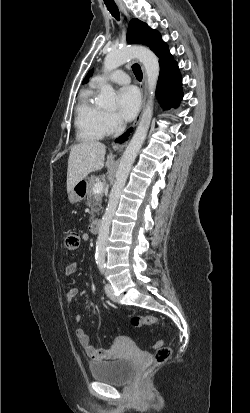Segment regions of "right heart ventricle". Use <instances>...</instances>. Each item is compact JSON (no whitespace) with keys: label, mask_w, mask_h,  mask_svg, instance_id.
<instances>
[{"label":"right heart ventricle","mask_w":250,"mask_h":413,"mask_svg":"<svg viewBox=\"0 0 250 413\" xmlns=\"http://www.w3.org/2000/svg\"><path fill=\"white\" fill-rule=\"evenodd\" d=\"M96 87L97 84L92 82L80 94L75 117L76 137L80 141L99 140L104 136L102 128L104 111L93 102Z\"/></svg>","instance_id":"obj_1"}]
</instances>
